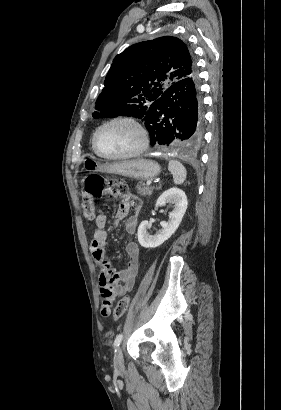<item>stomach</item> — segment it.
I'll use <instances>...</instances> for the list:
<instances>
[{
  "mask_svg": "<svg viewBox=\"0 0 281 410\" xmlns=\"http://www.w3.org/2000/svg\"><path fill=\"white\" fill-rule=\"evenodd\" d=\"M84 168L87 170L119 174L139 180L152 179L158 176L161 170L156 162L142 158L106 165H101L89 159L84 160Z\"/></svg>",
  "mask_w": 281,
  "mask_h": 410,
  "instance_id": "1",
  "label": "stomach"
}]
</instances>
